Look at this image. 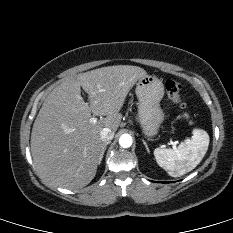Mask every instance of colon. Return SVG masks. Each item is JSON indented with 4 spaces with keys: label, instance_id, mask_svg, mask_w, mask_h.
<instances>
[{
    "label": "colon",
    "instance_id": "5ec220e1",
    "mask_svg": "<svg viewBox=\"0 0 233 233\" xmlns=\"http://www.w3.org/2000/svg\"><path fill=\"white\" fill-rule=\"evenodd\" d=\"M165 90H166V94H167L168 98L181 109L184 119L187 120L188 122H191L192 121L191 116L185 110L186 105L181 99V95H180L181 85H180V83L174 79H171V78L167 79L165 82Z\"/></svg>",
    "mask_w": 233,
    "mask_h": 233
}]
</instances>
